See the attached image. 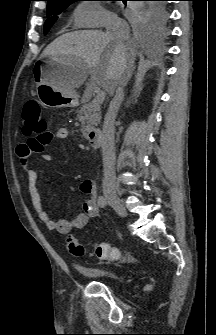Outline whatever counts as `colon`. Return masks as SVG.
Wrapping results in <instances>:
<instances>
[{
  "mask_svg": "<svg viewBox=\"0 0 216 335\" xmlns=\"http://www.w3.org/2000/svg\"><path fill=\"white\" fill-rule=\"evenodd\" d=\"M22 131L24 134L32 136L28 142L32 151L40 152L46 142L49 140L51 133L48 131L46 119L41 115L40 106L35 100H28L22 110ZM66 244L69 252L75 257H83L86 253L84 246L80 241L68 236ZM94 253L100 259L117 260L121 253L117 248H111L105 243H97L94 246Z\"/></svg>",
  "mask_w": 216,
  "mask_h": 335,
  "instance_id": "obj_1",
  "label": "colon"
}]
</instances>
